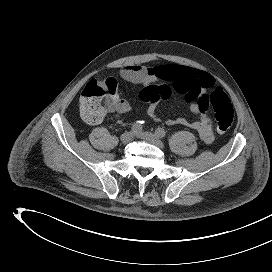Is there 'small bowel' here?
<instances>
[{"mask_svg":"<svg viewBox=\"0 0 272 272\" xmlns=\"http://www.w3.org/2000/svg\"><path fill=\"white\" fill-rule=\"evenodd\" d=\"M120 76L133 84L148 86L158 81L169 82L173 90L185 96L190 111L198 116L196 121L184 118L165 120L166 125H182L195 130L205 144L214 140V133L210 116L207 112L208 91L214 86V77L205 71L179 65H159L145 67L141 65H127L120 70ZM158 102L149 103L147 115L158 121L156 115ZM133 106L125 99L116 98L109 110L114 114H125L133 111Z\"/></svg>","mask_w":272,"mask_h":272,"instance_id":"small-bowel-1","label":"small bowel"}]
</instances>
